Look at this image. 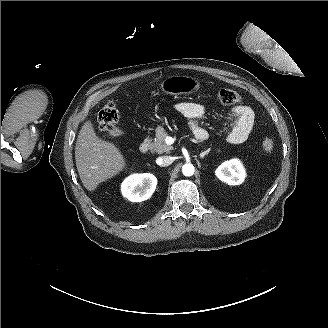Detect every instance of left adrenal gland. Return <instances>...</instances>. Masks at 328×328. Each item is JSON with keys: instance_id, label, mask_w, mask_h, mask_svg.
I'll return each mask as SVG.
<instances>
[{"instance_id": "1", "label": "left adrenal gland", "mask_w": 328, "mask_h": 328, "mask_svg": "<svg viewBox=\"0 0 328 328\" xmlns=\"http://www.w3.org/2000/svg\"><path fill=\"white\" fill-rule=\"evenodd\" d=\"M204 153V155H207L208 153H209V151L207 150V151H205V152H203Z\"/></svg>"}]
</instances>
